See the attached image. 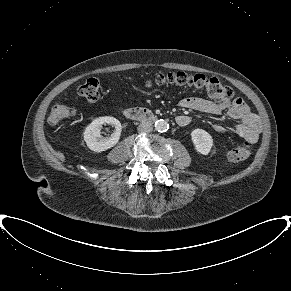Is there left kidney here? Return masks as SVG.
I'll return each mask as SVG.
<instances>
[{
    "mask_svg": "<svg viewBox=\"0 0 291 291\" xmlns=\"http://www.w3.org/2000/svg\"><path fill=\"white\" fill-rule=\"evenodd\" d=\"M191 139L196 151L202 155H208L212 146V136L202 129H194L191 132Z\"/></svg>",
    "mask_w": 291,
    "mask_h": 291,
    "instance_id": "5707ae66",
    "label": "left kidney"
}]
</instances>
